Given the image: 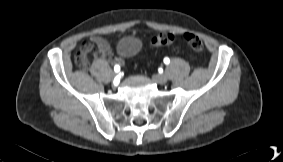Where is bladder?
<instances>
[{
    "label": "bladder",
    "mask_w": 283,
    "mask_h": 162,
    "mask_svg": "<svg viewBox=\"0 0 283 162\" xmlns=\"http://www.w3.org/2000/svg\"><path fill=\"white\" fill-rule=\"evenodd\" d=\"M140 49L139 41L134 37H124L118 43V54L122 57L129 58L138 53Z\"/></svg>",
    "instance_id": "1"
}]
</instances>
